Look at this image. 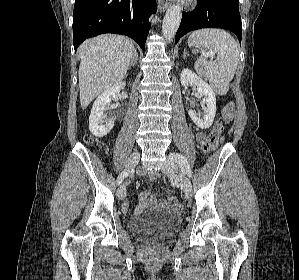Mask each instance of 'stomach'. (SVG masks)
Segmentation results:
<instances>
[{"label":"stomach","instance_id":"stomach-1","mask_svg":"<svg viewBox=\"0 0 299 280\" xmlns=\"http://www.w3.org/2000/svg\"><path fill=\"white\" fill-rule=\"evenodd\" d=\"M193 47L200 48L198 44H192Z\"/></svg>","mask_w":299,"mask_h":280}]
</instances>
